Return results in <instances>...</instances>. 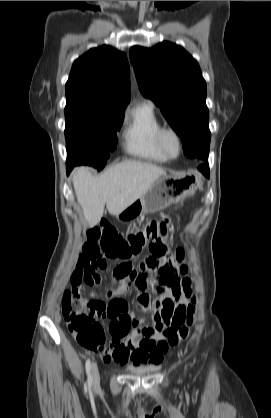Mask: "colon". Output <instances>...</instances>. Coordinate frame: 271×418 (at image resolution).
Returning a JSON list of instances; mask_svg holds the SVG:
<instances>
[{
	"label": "colon",
	"instance_id": "colon-1",
	"mask_svg": "<svg viewBox=\"0 0 271 418\" xmlns=\"http://www.w3.org/2000/svg\"><path fill=\"white\" fill-rule=\"evenodd\" d=\"M168 219H153L135 231L123 235L108 221L91 228L82 246L78 263L71 276V289L64 292L62 298V313L64 321L74 335L76 341L84 348L98 351L107 346L104 327L97 322L98 314H90L81 307L84 299L83 283L94 285L97 281L96 265L105 267L106 260L101 256L128 261L138 256L153 241L166 242ZM183 252H177L181 259ZM129 263V262H128ZM185 271V268L182 269ZM195 307L190 304L186 308L176 310L165 309L162 318L165 327L161 330L164 341L159 348L175 346L185 340L189 328L194 322ZM134 319V318H133Z\"/></svg>",
	"mask_w": 271,
	"mask_h": 418
}]
</instances>
